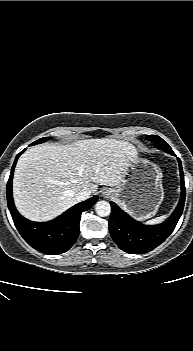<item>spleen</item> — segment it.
<instances>
[{"mask_svg":"<svg viewBox=\"0 0 193 351\" xmlns=\"http://www.w3.org/2000/svg\"><path fill=\"white\" fill-rule=\"evenodd\" d=\"M165 218H166V215H163V216L157 217L155 219L149 220L147 223L148 224H158V223H161Z\"/></svg>","mask_w":193,"mask_h":351,"instance_id":"3e777b00","label":"spleen"}]
</instances>
